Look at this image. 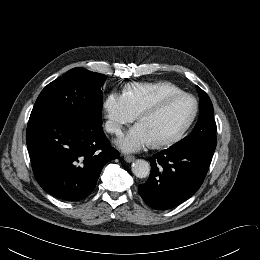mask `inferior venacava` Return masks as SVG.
<instances>
[{"label":"inferior vena cava","instance_id":"602c4592","mask_svg":"<svg viewBox=\"0 0 260 260\" xmlns=\"http://www.w3.org/2000/svg\"><path fill=\"white\" fill-rule=\"evenodd\" d=\"M106 130L107 132H110V133H117L119 131V125L114 123V122H107L106 124Z\"/></svg>","mask_w":260,"mask_h":260}]
</instances>
